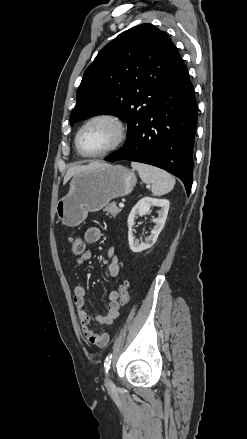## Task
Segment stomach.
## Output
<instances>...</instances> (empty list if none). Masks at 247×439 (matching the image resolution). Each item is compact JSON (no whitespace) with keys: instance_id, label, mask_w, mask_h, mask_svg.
<instances>
[{"instance_id":"stomach-1","label":"stomach","mask_w":247,"mask_h":439,"mask_svg":"<svg viewBox=\"0 0 247 439\" xmlns=\"http://www.w3.org/2000/svg\"><path fill=\"white\" fill-rule=\"evenodd\" d=\"M137 183L133 170L107 165L74 175L69 192L56 206L58 218L69 227L82 223L88 212H96L110 200L131 193Z\"/></svg>"}]
</instances>
